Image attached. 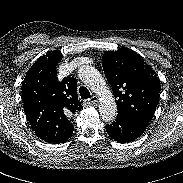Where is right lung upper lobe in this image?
<instances>
[{
  "label": "right lung upper lobe",
  "mask_w": 183,
  "mask_h": 183,
  "mask_svg": "<svg viewBox=\"0 0 183 183\" xmlns=\"http://www.w3.org/2000/svg\"><path fill=\"white\" fill-rule=\"evenodd\" d=\"M63 56L59 50L41 56L22 81V101L26 117L42 140L63 143L73 133L72 116L82 109L77 96V80H59L56 66Z\"/></svg>",
  "instance_id": "obj_1"
}]
</instances>
